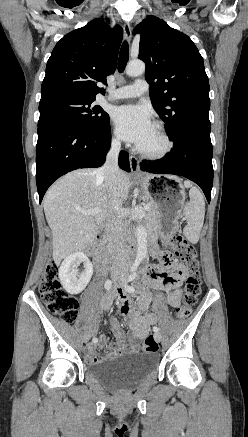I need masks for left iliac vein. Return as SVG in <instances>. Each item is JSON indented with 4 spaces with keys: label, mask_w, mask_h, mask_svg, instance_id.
<instances>
[{
    "label": "left iliac vein",
    "mask_w": 248,
    "mask_h": 437,
    "mask_svg": "<svg viewBox=\"0 0 248 437\" xmlns=\"http://www.w3.org/2000/svg\"><path fill=\"white\" fill-rule=\"evenodd\" d=\"M125 281H126L125 278L121 277V278L119 279V283H120V285H121V286H124ZM154 338L156 339V341L160 342L161 339H162V336H161V334H160L159 332H155V333H154Z\"/></svg>",
    "instance_id": "obj_1"
}]
</instances>
